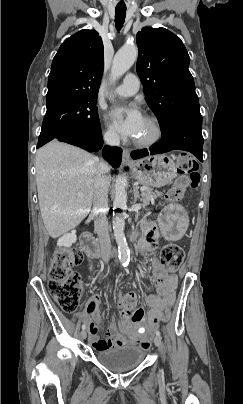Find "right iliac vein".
Returning <instances> with one entry per match:
<instances>
[{"mask_svg": "<svg viewBox=\"0 0 243 404\" xmlns=\"http://www.w3.org/2000/svg\"><path fill=\"white\" fill-rule=\"evenodd\" d=\"M80 335H81V338H82V339H85L86 336H87V333H86L85 330H82Z\"/></svg>", "mask_w": 243, "mask_h": 404, "instance_id": "right-iliac-vein-1", "label": "right iliac vein"}]
</instances>
